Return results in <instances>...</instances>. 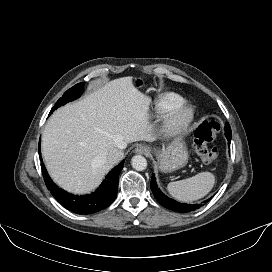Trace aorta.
<instances>
[{
	"mask_svg": "<svg viewBox=\"0 0 272 272\" xmlns=\"http://www.w3.org/2000/svg\"><path fill=\"white\" fill-rule=\"evenodd\" d=\"M132 167L137 171H143L147 168V160L141 155H135L131 159Z\"/></svg>",
	"mask_w": 272,
	"mask_h": 272,
	"instance_id": "762f6f07",
	"label": "aorta"
}]
</instances>
